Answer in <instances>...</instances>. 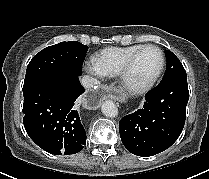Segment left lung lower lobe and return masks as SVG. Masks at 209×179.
I'll list each match as a JSON object with an SVG mask.
<instances>
[{
  "label": "left lung lower lobe",
  "instance_id": "left-lung-lower-lobe-1",
  "mask_svg": "<svg viewBox=\"0 0 209 179\" xmlns=\"http://www.w3.org/2000/svg\"><path fill=\"white\" fill-rule=\"evenodd\" d=\"M189 99L187 78L159 84L148 92L142 109L119 122L122 143L133 154L153 156L169 148L180 136Z\"/></svg>",
  "mask_w": 209,
  "mask_h": 179
}]
</instances>
